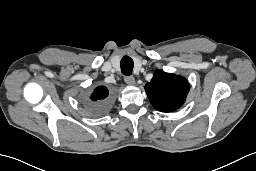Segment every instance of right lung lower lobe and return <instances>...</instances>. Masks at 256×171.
<instances>
[{
	"instance_id": "obj_1",
	"label": "right lung lower lobe",
	"mask_w": 256,
	"mask_h": 171,
	"mask_svg": "<svg viewBox=\"0 0 256 171\" xmlns=\"http://www.w3.org/2000/svg\"><path fill=\"white\" fill-rule=\"evenodd\" d=\"M108 106H109V100L106 99L104 101L90 105L89 112L91 115L97 116V115H100V114L106 112L108 109Z\"/></svg>"
}]
</instances>
